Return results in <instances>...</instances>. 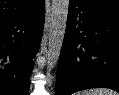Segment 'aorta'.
<instances>
[{
	"instance_id": "1",
	"label": "aorta",
	"mask_w": 119,
	"mask_h": 95,
	"mask_svg": "<svg viewBox=\"0 0 119 95\" xmlns=\"http://www.w3.org/2000/svg\"><path fill=\"white\" fill-rule=\"evenodd\" d=\"M69 0H52L50 34L47 52V68L53 69L60 57L64 40Z\"/></svg>"
}]
</instances>
